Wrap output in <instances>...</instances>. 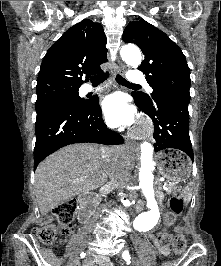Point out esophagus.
<instances>
[{
    "label": "esophagus",
    "mask_w": 221,
    "mask_h": 266,
    "mask_svg": "<svg viewBox=\"0 0 221 266\" xmlns=\"http://www.w3.org/2000/svg\"><path fill=\"white\" fill-rule=\"evenodd\" d=\"M125 71H126L125 66L122 65V64H120V65L118 66L117 72H118L119 74H124ZM126 143H127V145H129V146H135L134 143H133L131 140H129V139L126 140Z\"/></svg>",
    "instance_id": "34e87169"
}]
</instances>
